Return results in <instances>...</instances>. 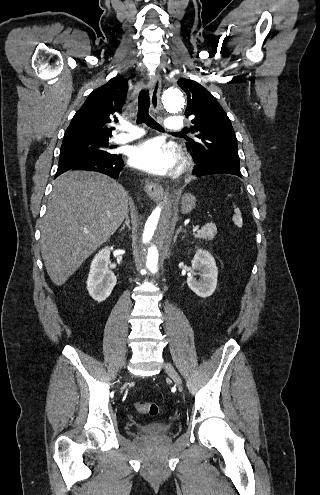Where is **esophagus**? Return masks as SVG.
Instances as JSON below:
<instances>
[{
	"mask_svg": "<svg viewBox=\"0 0 320 495\" xmlns=\"http://www.w3.org/2000/svg\"><path fill=\"white\" fill-rule=\"evenodd\" d=\"M161 78L158 74H153L150 78V106L155 114L159 109ZM144 190L153 199L159 200L163 197L162 185L153 181H145Z\"/></svg>",
	"mask_w": 320,
	"mask_h": 495,
	"instance_id": "1",
	"label": "esophagus"
}]
</instances>
